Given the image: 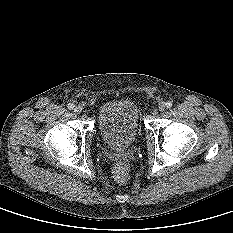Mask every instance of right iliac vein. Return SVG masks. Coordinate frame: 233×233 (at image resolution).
<instances>
[{"instance_id": "1", "label": "right iliac vein", "mask_w": 233, "mask_h": 233, "mask_svg": "<svg viewBox=\"0 0 233 233\" xmlns=\"http://www.w3.org/2000/svg\"><path fill=\"white\" fill-rule=\"evenodd\" d=\"M81 111H82V106L76 105V106L74 107V112L80 113Z\"/></svg>"}]
</instances>
